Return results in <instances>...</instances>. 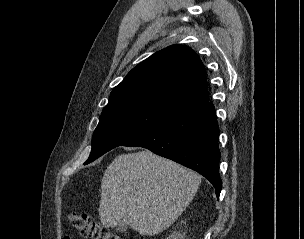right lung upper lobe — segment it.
I'll return each mask as SVG.
<instances>
[{
	"label": "right lung upper lobe",
	"mask_w": 304,
	"mask_h": 239,
	"mask_svg": "<svg viewBox=\"0 0 304 239\" xmlns=\"http://www.w3.org/2000/svg\"><path fill=\"white\" fill-rule=\"evenodd\" d=\"M207 101L202 61L191 48L173 45L133 68L112 90L102 114L143 109L171 119Z\"/></svg>",
	"instance_id": "cb5924a9"
}]
</instances>
